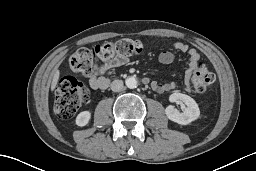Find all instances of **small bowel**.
I'll list each match as a JSON object with an SVG mask.
<instances>
[{"mask_svg":"<svg viewBox=\"0 0 256 171\" xmlns=\"http://www.w3.org/2000/svg\"><path fill=\"white\" fill-rule=\"evenodd\" d=\"M173 49L182 53H186L189 57V67L186 72L184 80V88L189 89V79L191 77L192 71L195 65L199 62L200 55L195 48L189 47L186 43L175 42L173 44ZM174 53L169 50L162 51L158 56V61L161 64H170L174 61ZM127 62V58H114L112 60L106 61L104 64L98 66L93 73L90 75L89 84L95 90L106 89L109 85V79L105 76V73L112 68L120 67ZM154 91L158 93H164L168 91L175 90L177 85L173 82L170 83H158L154 82L152 84Z\"/></svg>","mask_w":256,"mask_h":171,"instance_id":"c3829d8e","label":"small bowel"}]
</instances>
